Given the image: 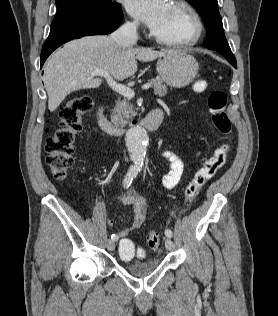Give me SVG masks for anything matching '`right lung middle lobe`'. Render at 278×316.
I'll return each instance as SVG.
<instances>
[{
  "instance_id": "1",
  "label": "right lung middle lobe",
  "mask_w": 278,
  "mask_h": 316,
  "mask_svg": "<svg viewBox=\"0 0 278 316\" xmlns=\"http://www.w3.org/2000/svg\"><path fill=\"white\" fill-rule=\"evenodd\" d=\"M57 14L52 23L95 13H110L119 5L111 0H56Z\"/></svg>"
}]
</instances>
